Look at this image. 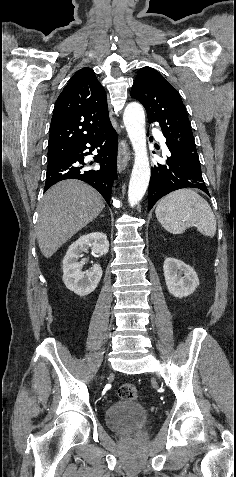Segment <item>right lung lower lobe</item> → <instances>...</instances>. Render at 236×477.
Wrapping results in <instances>:
<instances>
[{
	"label": "right lung lower lobe",
	"instance_id": "1",
	"mask_svg": "<svg viewBox=\"0 0 236 477\" xmlns=\"http://www.w3.org/2000/svg\"><path fill=\"white\" fill-rule=\"evenodd\" d=\"M117 147V133L109 123L87 137L66 157L48 163L44 191L61 180L79 179L93 186L110 205L111 188L117 178ZM94 150L98 152L94 162L100 167L89 169L84 157Z\"/></svg>",
	"mask_w": 236,
	"mask_h": 477
}]
</instances>
